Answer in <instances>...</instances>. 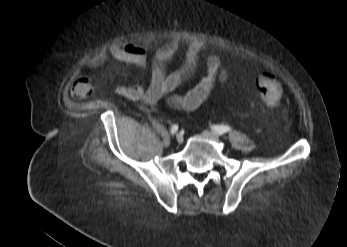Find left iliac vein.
<instances>
[{"label":"left iliac vein","instance_id":"obj_1","mask_svg":"<svg viewBox=\"0 0 347 247\" xmlns=\"http://www.w3.org/2000/svg\"><path fill=\"white\" fill-rule=\"evenodd\" d=\"M203 135L207 136V137L214 138V139H218L219 138V136L216 133H214L212 131H208V130L203 131Z\"/></svg>","mask_w":347,"mask_h":247}]
</instances>
